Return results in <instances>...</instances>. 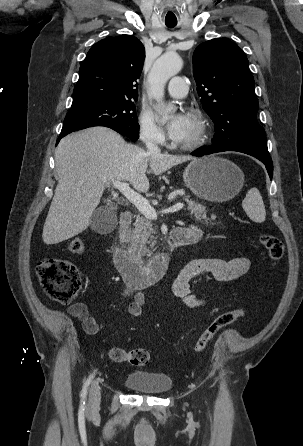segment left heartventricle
Returning a JSON list of instances; mask_svg holds the SVG:
<instances>
[{
    "label": "left heart ventricle",
    "mask_w": 303,
    "mask_h": 446,
    "mask_svg": "<svg viewBox=\"0 0 303 446\" xmlns=\"http://www.w3.org/2000/svg\"><path fill=\"white\" fill-rule=\"evenodd\" d=\"M187 118H188V123L186 132L182 137V139L178 141L179 143H186L192 140L197 132V121L195 120V118L192 117L191 115H187Z\"/></svg>",
    "instance_id": "obj_1"
}]
</instances>
